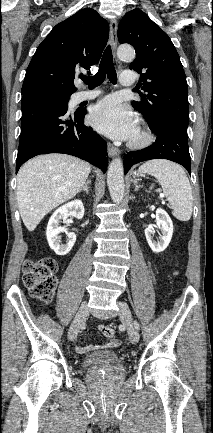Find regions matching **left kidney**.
Instances as JSON below:
<instances>
[{
	"mask_svg": "<svg viewBox=\"0 0 213 433\" xmlns=\"http://www.w3.org/2000/svg\"><path fill=\"white\" fill-rule=\"evenodd\" d=\"M156 224L157 227L161 230V236L159 237V241L156 242L152 238V234L154 233L153 228H146L145 236L152 251L155 253H160L167 248L173 234L172 220L167 214V212L162 208H158L156 210Z\"/></svg>",
	"mask_w": 213,
	"mask_h": 433,
	"instance_id": "left-kidney-1",
	"label": "left kidney"
}]
</instances>
